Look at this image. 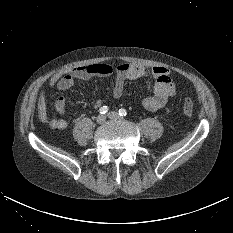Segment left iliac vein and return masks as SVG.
<instances>
[{
  "label": "left iliac vein",
  "instance_id": "left-iliac-vein-1",
  "mask_svg": "<svg viewBox=\"0 0 233 233\" xmlns=\"http://www.w3.org/2000/svg\"><path fill=\"white\" fill-rule=\"evenodd\" d=\"M108 117H109L110 119H115V120L121 119L120 115H119L117 112H115V111L109 112V113H108Z\"/></svg>",
  "mask_w": 233,
  "mask_h": 233
}]
</instances>
